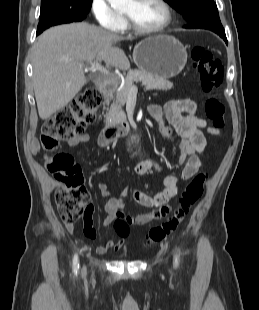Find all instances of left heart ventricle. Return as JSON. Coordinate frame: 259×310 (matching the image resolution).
Instances as JSON below:
<instances>
[{
  "instance_id": "obj_1",
  "label": "left heart ventricle",
  "mask_w": 259,
  "mask_h": 310,
  "mask_svg": "<svg viewBox=\"0 0 259 310\" xmlns=\"http://www.w3.org/2000/svg\"><path fill=\"white\" fill-rule=\"evenodd\" d=\"M124 14L142 28H154L165 19V11L157 0H130Z\"/></svg>"
}]
</instances>
